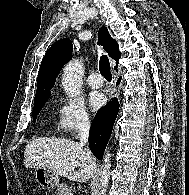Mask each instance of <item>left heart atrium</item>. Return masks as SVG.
<instances>
[{
	"label": "left heart atrium",
	"instance_id": "39dd6f15",
	"mask_svg": "<svg viewBox=\"0 0 189 195\" xmlns=\"http://www.w3.org/2000/svg\"><path fill=\"white\" fill-rule=\"evenodd\" d=\"M89 104L93 110H97L105 103V96L100 91H94L89 94Z\"/></svg>",
	"mask_w": 189,
	"mask_h": 195
}]
</instances>
